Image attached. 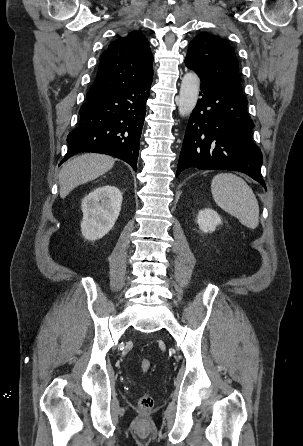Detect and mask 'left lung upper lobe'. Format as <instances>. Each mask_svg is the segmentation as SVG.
<instances>
[{
  "label": "left lung upper lobe",
  "instance_id": "obj_1",
  "mask_svg": "<svg viewBox=\"0 0 303 446\" xmlns=\"http://www.w3.org/2000/svg\"><path fill=\"white\" fill-rule=\"evenodd\" d=\"M185 64L198 75L215 79L243 95L235 50L219 36L197 35L189 44Z\"/></svg>",
  "mask_w": 303,
  "mask_h": 446
}]
</instances>
